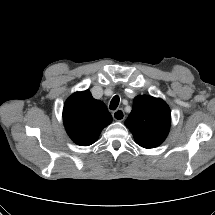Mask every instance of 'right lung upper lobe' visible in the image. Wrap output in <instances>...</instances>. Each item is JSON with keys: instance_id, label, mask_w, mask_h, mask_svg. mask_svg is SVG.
Returning a JSON list of instances; mask_svg holds the SVG:
<instances>
[{"instance_id": "obj_1", "label": "right lung upper lobe", "mask_w": 215, "mask_h": 215, "mask_svg": "<svg viewBox=\"0 0 215 215\" xmlns=\"http://www.w3.org/2000/svg\"><path fill=\"white\" fill-rule=\"evenodd\" d=\"M112 121L105 104L86 90L76 92L65 102L63 122L74 143L80 146L93 144L101 130Z\"/></svg>"}]
</instances>
